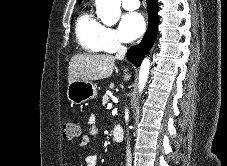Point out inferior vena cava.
<instances>
[{"label":"inferior vena cava","instance_id":"obj_1","mask_svg":"<svg viewBox=\"0 0 227 166\" xmlns=\"http://www.w3.org/2000/svg\"><path fill=\"white\" fill-rule=\"evenodd\" d=\"M126 51H127V48L124 45L118 44L116 58L119 60H123L125 57ZM126 166H132V156H131L129 141H127V148H126Z\"/></svg>","mask_w":227,"mask_h":166}]
</instances>
